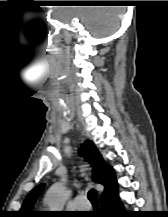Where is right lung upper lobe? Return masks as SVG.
<instances>
[{"instance_id": "1", "label": "right lung upper lobe", "mask_w": 168, "mask_h": 217, "mask_svg": "<svg viewBox=\"0 0 168 217\" xmlns=\"http://www.w3.org/2000/svg\"><path fill=\"white\" fill-rule=\"evenodd\" d=\"M79 153L84 154L85 158L92 165L93 181L104 185V192L101 195V200L115 193L118 190V185L114 171L111 167H106L105 161L94 143L86 141L83 147L79 149ZM43 188L44 184H40L27 195L19 212L21 217H37L39 215L38 212L32 211L31 209Z\"/></svg>"}]
</instances>
